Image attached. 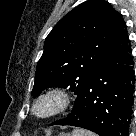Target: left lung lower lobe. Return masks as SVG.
I'll list each match as a JSON object with an SVG mask.
<instances>
[{
  "label": "left lung lower lobe",
  "instance_id": "0a47b994",
  "mask_svg": "<svg viewBox=\"0 0 136 136\" xmlns=\"http://www.w3.org/2000/svg\"><path fill=\"white\" fill-rule=\"evenodd\" d=\"M124 23L100 66L83 85L72 112L52 125H71L100 136H128L134 79Z\"/></svg>",
  "mask_w": 136,
  "mask_h": 136
}]
</instances>
